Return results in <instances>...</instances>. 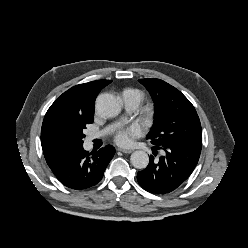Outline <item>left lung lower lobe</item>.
Listing matches in <instances>:
<instances>
[{"label":"left lung lower lobe","mask_w":248,"mask_h":248,"mask_svg":"<svg viewBox=\"0 0 248 248\" xmlns=\"http://www.w3.org/2000/svg\"><path fill=\"white\" fill-rule=\"evenodd\" d=\"M161 149L158 162L150 157L148 166L139 171L137 180L142 188L154 194H166L178 188L193 172L200 152L176 146H154L153 152Z\"/></svg>","instance_id":"0a47b994"}]
</instances>
